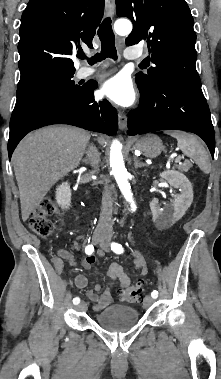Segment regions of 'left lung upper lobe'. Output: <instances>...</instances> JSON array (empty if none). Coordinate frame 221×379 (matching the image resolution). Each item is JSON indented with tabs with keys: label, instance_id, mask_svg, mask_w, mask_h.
Returning <instances> with one entry per match:
<instances>
[{
	"label": "left lung upper lobe",
	"instance_id": "obj_1",
	"mask_svg": "<svg viewBox=\"0 0 221 379\" xmlns=\"http://www.w3.org/2000/svg\"><path fill=\"white\" fill-rule=\"evenodd\" d=\"M119 17H128L133 30L126 45L147 43L152 61L147 74L136 75L137 85L146 87L155 78L201 86L196 71L194 20L185 0H116Z\"/></svg>",
	"mask_w": 221,
	"mask_h": 379
}]
</instances>
